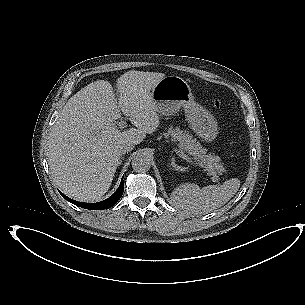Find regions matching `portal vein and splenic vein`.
Returning a JSON list of instances; mask_svg holds the SVG:
<instances>
[{"mask_svg":"<svg viewBox=\"0 0 305 305\" xmlns=\"http://www.w3.org/2000/svg\"><path fill=\"white\" fill-rule=\"evenodd\" d=\"M117 125H118L119 128H123V127L126 126V122H125V121H120ZM175 152H176L180 157H182L183 159H185V158L187 157V156L184 154V152H182V151H179V150L175 149Z\"/></svg>","mask_w":305,"mask_h":305,"instance_id":"obj_1","label":"portal vein and splenic vein"}]
</instances>
